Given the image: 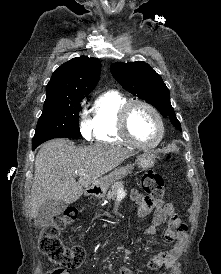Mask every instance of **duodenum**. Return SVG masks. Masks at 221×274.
Listing matches in <instances>:
<instances>
[{
	"label": "duodenum",
	"mask_w": 221,
	"mask_h": 274,
	"mask_svg": "<svg viewBox=\"0 0 221 274\" xmlns=\"http://www.w3.org/2000/svg\"><path fill=\"white\" fill-rule=\"evenodd\" d=\"M99 194V190L96 187L90 188L86 191V196H96Z\"/></svg>",
	"instance_id": "duodenum-1"
}]
</instances>
